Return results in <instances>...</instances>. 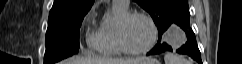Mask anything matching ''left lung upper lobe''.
<instances>
[{
  "mask_svg": "<svg viewBox=\"0 0 242 64\" xmlns=\"http://www.w3.org/2000/svg\"><path fill=\"white\" fill-rule=\"evenodd\" d=\"M153 18L158 27V43L171 24L190 17L188 0H134Z\"/></svg>",
  "mask_w": 242,
  "mask_h": 64,
  "instance_id": "1",
  "label": "left lung upper lobe"
}]
</instances>
